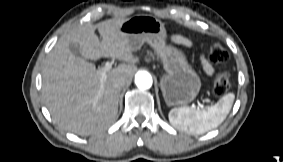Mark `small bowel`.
Here are the masks:
<instances>
[{
	"label": "small bowel",
	"mask_w": 283,
	"mask_h": 162,
	"mask_svg": "<svg viewBox=\"0 0 283 162\" xmlns=\"http://www.w3.org/2000/svg\"><path fill=\"white\" fill-rule=\"evenodd\" d=\"M173 41L177 44H182V45H186V46L191 45V42L189 40L183 38V37H176V38L173 39ZM201 64H202L203 70L206 74L211 75L214 72L213 67L203 57L201 58Z\"/></svg>",
	"instance_id": "obj_1"
}]
</instances>
